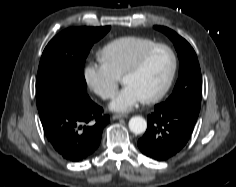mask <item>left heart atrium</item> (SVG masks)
<instances>
[{
  "mask_svg": "<svg viewBox=\"0 0 236 187\" xmlns=\"http://www.w3.org/2000/svg\"><path fill=\"white\" fill-rule=\"evenodd\" d=\"M141 101H143V98L137 90L127 85L116 94L110 103V109L115 112H128Z\"/></svg>",
  "mask_w": 236,
  "mask_h": 187,
  "instance_id": "39dd6f15",
  "label": "left heart atrium"
}]
</instances>
